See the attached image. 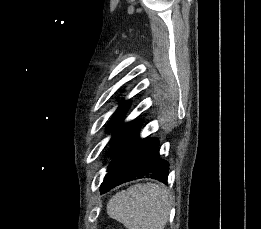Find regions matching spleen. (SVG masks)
<instances>
[{
    "instance_id": "1",
    "label": "spleen",
    "mask_w": 261,
    "mask_h": 229,
    "mask_svg": "<svg viewBox=\"0 0 261 229\" xmlns=\"http://www.w3.org/2000/svg\"><path fill=\"white\" fill-rule=\"evenodd\" d=\"M171 209L170 199L162 185H132L116 193L107 203L111 219L126 229H165Z\"/></svg>"
}]
</instances>
